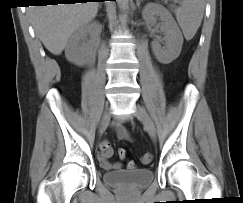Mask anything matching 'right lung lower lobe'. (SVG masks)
<instances>
[{"label": "right lung lower lobe", "mask_w": 243, "mask_h": 203, "mask_svg": "<svg viewBox=\"0 0 243 203\" xmlns=\"http://www.w3.org/2000/svg\"><path fill=\"white\" fill-rule=\"evenodd\" d=\"M40 1H43V0H40ZM61 1H62L61 3H69L70 4V3H75L76 1H86V0H61ZM96 1L99 2V1H105V0H96ZM111 1H116V0H111ZM41 4H43V3H41Z\"/></svg>", "instance_id": "98d812e1"}]
</instances>
